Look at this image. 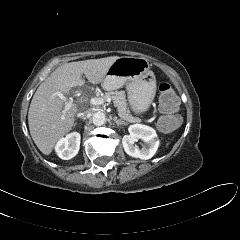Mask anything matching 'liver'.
I'll list each match as a JSON object with an SVG mask.
<instances>
[{
    "label": "liver",
    "instance_id": "liver-1",
    "mask_svg": "<svg viewBox=\"0 0 240 240\" xmlns=\"http://www.w3.org/2000/svg\"><path fill=\"white\" fill-rule=\"evenodd\" d=\"M118 58L112 56L63 64L40 84L29 107L28 124L31 137L43 154L49 155L58 140L72 129L79 110L76 104H72L64 112L66 103H63L56 92L65 95L71 88L83 86V74L92 84L102 83L109 68Z\"/></svg>",
    "mask_w": 240,
    "mask_h": 240
}]
</instances>
